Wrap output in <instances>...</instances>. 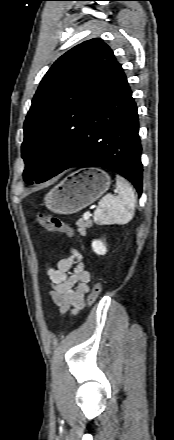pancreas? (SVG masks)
<instances>
[{
    "label": "pancreas",
    "mask_w": 174,
    "mask_h": 440,
    "mask_svg": "<svg viewBox=\"0 0 174 440\" xmlns=\"http://www.w3.org/2000/svg\"><path fill=\"white\" fill-rule=\"evenodd\" d=\"M93 222L92 220H79L76 222V226L78 227V232L80 235L85 236L86 235V229L92 227Z\"/></svg>",
    "instance_id": "cf45deb5"
}]
</instances>
